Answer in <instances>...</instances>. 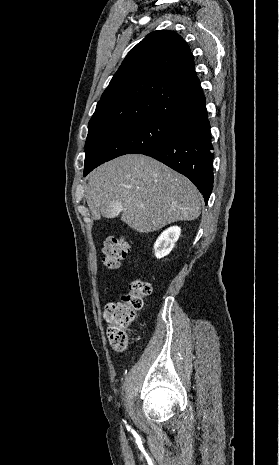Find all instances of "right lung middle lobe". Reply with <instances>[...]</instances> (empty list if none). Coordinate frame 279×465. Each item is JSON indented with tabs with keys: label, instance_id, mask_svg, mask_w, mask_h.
<instances>
[{
	"label": "right lung middle lobe",
	"instance_id": "obj_1",
	"mask_svg": "<svg viewBox=\"0 0 279 465\" xmlns=\"http://www.w3.org/2000/svg\"><path fill=\"white\" fill-rule=\"evenodd\" d=\"M175 122L160 119H129L88 130L84 172L121 155L141 153L174 129Z\"/></svg>",
	"mask_w": 279,
	"mask_h": 465
}]
</instances>
